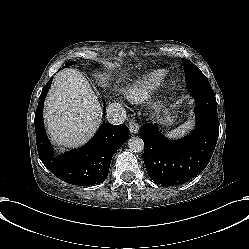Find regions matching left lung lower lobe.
<instances>
[{
	"label": "left lung lower lobe",
	"instance_id": "obj_1",
	"mask_svg": "<svg viewBox=\"0 0 249 249\" xmlns=\"http://www.w3.org/2000/svg\"><path fill=\"white\" fill-rule=\"evenodd\" d=\"M196 100L195 130L183 140L163 137L157 125H144L140 137L144 141V163L154 182L175 186L201 173L209 163L219 134L216 98L212 90H191Z\"/></svg>",
	"mask_w": 249,
	"mask_h": 249
}]
</instances>
